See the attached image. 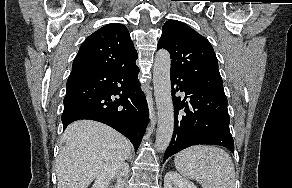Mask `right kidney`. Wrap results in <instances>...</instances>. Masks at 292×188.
<instances>
[{
  "mask_svg": "<svg viewBox=\"0 0 292 188\" xmlns=\"http://www.w3.org/2000/svg\"><path fill=\"white\" fill-rule=\"evenodd\" d=\"M129 165L121 162L102 172L91 188H108L109 182L116 177V184L112 188H124L125 178L128 175Z\"/></svg>",
  "mask_w": 292,
  "mask_h": 188,
  "instance_id": "obj_1",
  "label": "right kidney"
}]
</instances>
